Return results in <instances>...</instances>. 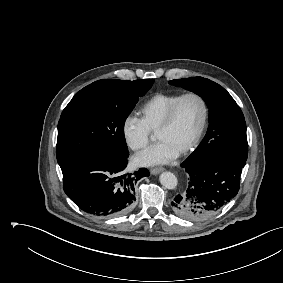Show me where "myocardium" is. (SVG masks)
Instances as JSON below:
<instances>
[{
	"label": "myocardium",
	"instance_id": "obj_1",
	"mask_svg": "<svg viewBox=\"0 0 283 283\" xmlns=\"http://www.w3.org/2000/svg\"><path fill=\"white\" fill-rule=\"evenodd\" d=\"M188 98H195L199 101L201 108H202V118H201V122H200V126L198 128V131L195 135V137L193 138V140L180 152L181 154H187L191 151H193L200 143L205 130L207 128V124H208V119H209V107L207 104V101L205 100V98L196 92H188L185 94H182L175 102L174 104L170 107V109L168 110L163 122L161 123V125L159 126V128L157 129V133L167 130L169 129L172 124L174 123V120L176 118L177 112L179 110L180 105L183 103L184 100L188 99Z\"/></svg>",
	"mask_w": 283,
	"mask_h": 283
}]
</instances>
